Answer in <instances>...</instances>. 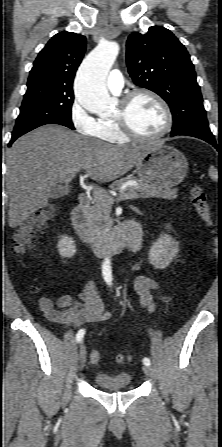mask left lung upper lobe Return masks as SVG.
I'll use <instances>...</instances> for the list:
<instances>
[{"label": "left lung upper lobe", "mask_w": 222, "mask_h": 447, "mask_svg": "<svg viewBox=\"0 0 222 447\" xmlns=\"http://www.w3.org/2000/svg\"><path fill=\"white\" fill-rule=\"evenodd\" d=\"M126 62L134 83L160 95L173 115L172 133L212 137L194 66L183 44L168 29L150 27L127 40Z\"/></svg>", "instance_id": "5c2ea615"}]
</instances>
